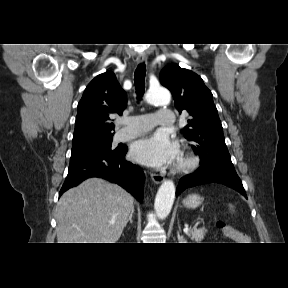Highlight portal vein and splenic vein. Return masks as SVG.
<instances>
[{
  "label": "portal vein and splenic vein",
  "mask_w": 288,
  "mask_h": 288,
  "mask_svg": "<svg viewBox=\"0 0 288 288\" xmlns=\"http://www.w3.org/2000/svg\"><path fill=\"white\" fill-rule=\"evenodd\" d=\"M184 233H188L189 232V228L188 227H186V228H184Z\"/></svg>",
  "instance_id": "portal-vein-and-splenic-vein-1"
}]
</instances>
